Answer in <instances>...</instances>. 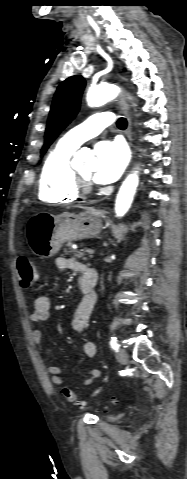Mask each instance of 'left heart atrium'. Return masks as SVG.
Here are the masks:
<instances>
[{
	"mask_svg": "<svg viewBox=\"0 0 187 479\" xmlns=\"http://www.w3.org/2000/svg\"><path fill=\"white\" fill-rule=\"evenodd\" d=\"M94 153L98 163L94 181L100 184L116 181L127 164L124 146L115 141H101L95 145Z\"/></svg>",
	"mask_w": 187,
	"mask_h": 479,
	"instance_id": "39dd6f15",
	"label": "left heart atrium"
}]
</instances>
